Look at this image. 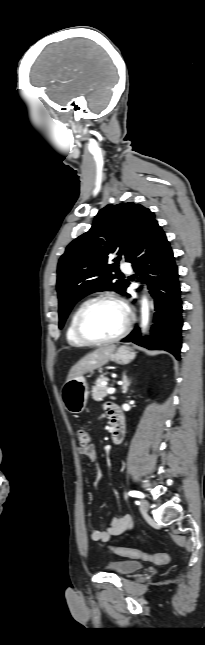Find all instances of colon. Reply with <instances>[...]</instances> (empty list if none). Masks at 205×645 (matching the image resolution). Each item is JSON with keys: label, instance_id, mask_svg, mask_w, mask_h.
<instances>
[{"label": "colon", "instance_id": "obj_1", "mask_svg": "<svg viewBox=\"0 0 205 645\" xmlns=\"http://www.w3.org/2000/svg\"><path fill=\"white\" fill-rule=\"evenodd\" d=\"M78 443L81 447H88L91 442V434L88 429L84 427H78L75 430ZM114 553L130 557V558H141L144 560L152 561L158 564H165L169 560V556L166 553H155L150 554L143 552L141 550L132 549V548H123V547H112Z\"/></svg>", "mask_w": 205, "mask_h": 645}]
</instances>
